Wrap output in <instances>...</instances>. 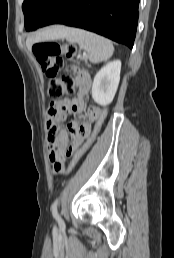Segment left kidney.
<instances>
[{
  "label": "left kidney",
  "instance_id": "5707ae66",
  "mask_svg": "<svg viewBox=\"0 0 174 258\" xmlns=\"http://www.w3.org/2000/svg\"><path fill=\"white\" fill-rule=\"evenodd\" d=\"M121 61L107 63L95 75L92 84V98L101 106L109 105L116 94L120 81Z\"/></svg>",
  "mask_w": 174,
  "mask_h": 258
}]
</instances>
